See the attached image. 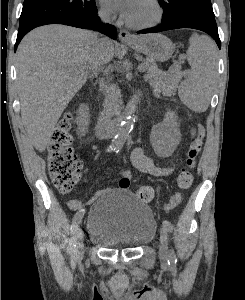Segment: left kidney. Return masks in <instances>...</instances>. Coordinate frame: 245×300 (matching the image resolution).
<instances>
[{"instance_id":"obj_1","label":"left kidney","mask_w":245,"mask_h":300,"mask_svg":"<svg viewBox=\"0 0 245 300\" xmlns=\"http://www.w3.org/2000/svg\"><path fill=\"white\" fill-rule=\"evenodd\" d=\"M181 139L177 116L173 111H168L164 122L154 128L151 133V140L157 153L169 156L178 146Z\"/></svg>"}]
</instances>
